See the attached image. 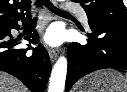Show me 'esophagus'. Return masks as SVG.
I'll list each match as a JSON object with an SVG mask.
<instances>
[{"label": "esophagus", "mask_w": 127, "mask_h": 92, "mask_svg": "<svg viewBox=\"0 0 127 92\" xmlns=\"http://www.w3.org/2000/svg\"><path fill=\"white\" fill-rule=\"evenodd\" d=\"M48 53L52 61H54L57 58L58 50L54 48H48Z\"/></svg>", "instance_id": "esophagus-1"}]
</instances>
